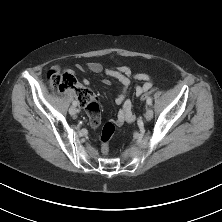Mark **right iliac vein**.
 <instances>
[{"mask_svg": "<svg viewBox=\"0 0 222 222\" xmlns=\"http://www.w3.org/2000/svg\"><path fill=\"white\" fill-rule=\"evenodd\" d=\"M70 115L74 116L77 114V108L75 106H71L69 109Z\"/></svg>", "mask_w": 222, "mask_h": 222, "instance_id": "right-iliac-vein-1", "label": "right iliac vein"}]
</instances>
